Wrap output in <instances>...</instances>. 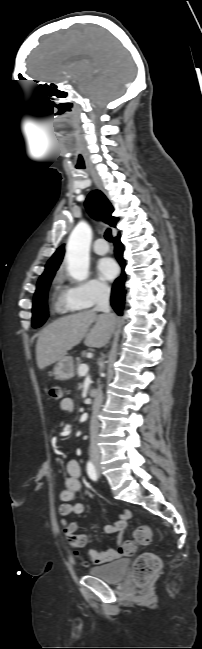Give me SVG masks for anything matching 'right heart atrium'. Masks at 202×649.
Returning a JSON list of instances; mask_svg holds the SVG:
<instances>
[{
  "label": "right heart atrium",
  "mask_w": 202,
  "mask_h": 649,
  "mask_svg": "<svg viewBox=\"0 0 202 649\" xmlns=\"http://www.w3.org/2000/svg\"><path fill=\"white\" fill-rule=\"evenodd\" d=\"M108 294L109 287L105 282L89 279L67 288L64 301L69 308L85 309L104 300Z\"/></svg>",
  "instance_id": "1"
}]
</instances>
